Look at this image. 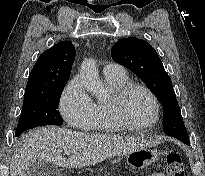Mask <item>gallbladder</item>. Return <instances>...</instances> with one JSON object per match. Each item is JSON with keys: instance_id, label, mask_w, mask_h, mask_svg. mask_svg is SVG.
Returning a JSON list of instances; mask_svg holds the SVG:
<instances>
[{"instance_id": "obj_1", "label": "gallbladder", "mask_w": 205, "mask_h": 176, "mask_svg": "<svg viewBox=\"0 0 205 176\" xmlns=\"http://www.w3.org/2000/svg\"><path fill=\"white\" fill-rule=\"evenodd\" d=\"M26 176H62V170L53 163L35 162L26 170Z\"/></svg>"}]
</instances>
